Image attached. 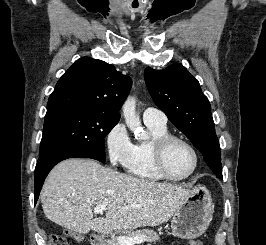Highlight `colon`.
Instances as JSON below:
<instances>
[{"label":"colon","instance_id":"5ec220e1","mask_svg":"<svg viewBox=\"0 0 266 245\" xmlns=\"http://www.w3.org/2000/svg\"><path fill=\"white\" fill-rule=\"evenodd\" d=\"M65 236H67V232H63L61 234H50V245H69V242L67 241V238ZM73 238L77 241L80 240L79 237L76 235H73ZM192 245H199V243L197 241H194Z\"/></svg>","mask_w":266,"mask_h":245}]
</instances>
